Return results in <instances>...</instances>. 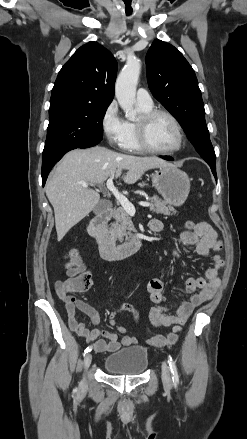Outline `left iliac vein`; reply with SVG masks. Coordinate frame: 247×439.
Returning a JSON list of instances; mask_svg holds the SVG:
<instances>
[{"instance_id":"1","label":"left iliac vein","mask_w":247,"mask_h":439,"mask_svg":"<svg viewBox=\"0 0 247 439\" xmlns=\"http://www.w3.org/2000/svg\"><path fill=\"white\" fill-rule=\"evenodd\" d=\"M162 381L166 388H171L172 386V378L168 365L166 362L162 363Z\"/></svg>"}]
</instances>
